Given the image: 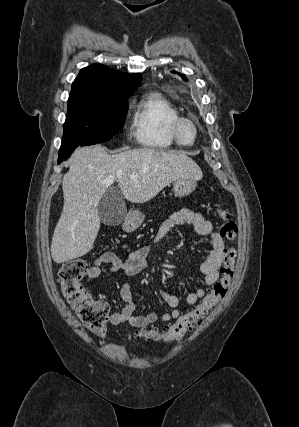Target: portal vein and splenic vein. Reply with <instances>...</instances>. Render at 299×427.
Masks as SVG:
<instances>
[{
  "label": "portal vein and splenic vein",
  "instance_id": "18ae733b",
  "mask_svg": "<svg viewBox=\"0 0 299 427\" xmlns=\"http://www.w3.org/2000/svg\"><path fill=\"white\" fill-rule=\"evenodd\" d=\"M118 175H120V173H118ZM130 178L133 180H136L137 176L136 175H130ZM113 182H114V178H108V179L103 180L102 183L105 186H110L111 184H113Z\"/></svg>",
  "mask_w": 299,
  "mask_h": 427
}]
</instances>
